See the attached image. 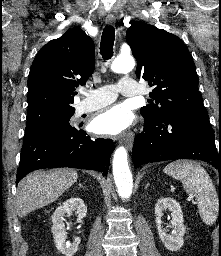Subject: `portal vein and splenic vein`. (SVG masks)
<instances>
[{"mask_svg":"<svg viewBox=\"0 0 221 256\" xmlns=\"http://www.w3.org/2000/svg\"><path fill=\"white\" fill-rule=\"evenodd\" d=\"M192 198H193L192 196H189V197H188V200H192Z\"/></svg>","mask_w":221,"mask_h":256,"instance_id":"1","label":"portal vein and splenic vein"}]
</instances>
